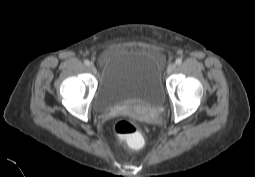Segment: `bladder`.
Instances as JSON below:
<instances>
[{"instance_id":"bladder-1","label":"bladder","mask_w":255,"mask_h":177,"mask_svg":"<svg viewBox=\"0 0 255 177\" xmlns=\"http://www.w3.org/2000/svg\"><path fill=\"white\" fill-rule=\"evenodd\" d=\"M164 99L160 66L152 50H127L104 66L94 107L104 113L128 104L156 107Z\"/></svg>"}]
</instances>
